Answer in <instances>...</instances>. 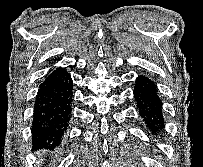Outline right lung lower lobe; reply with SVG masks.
<instances>
[{"instance_id":"98d812e1","label":"right lung lower lobe","mask_w":203,"mask_h":167,"mask_svg":"<svg viewBox=\"0 0 203 167\" xmlns=\"http://www.w3.org/2000/svg\"><path fill=\"white\" fill-rule=\"evenodd\" d=\"M73 81L59 68L50 73L39 87L32 120L33 149L60 147L71 120Z\"/></svg>"}]
</instances>
